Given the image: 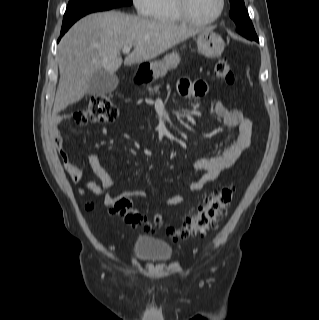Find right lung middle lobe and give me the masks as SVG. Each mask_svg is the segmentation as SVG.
<instances>
[{"mask_svg": "<svg viewBox=\"0 0 319 320\" xmlns=\"http://www.w3.org/2000/svg\"><path fill=\"white\" fill-rule=\"evenodd\" d=\"M131 4L132 0H69L64 14L62 28H69L86 14Z\"/></svg>", "mask_w": 319, "mask_h": 320, "instance_id": "right-lung-middle-lobe-1", "label": "right lung middle lobe"}]
</instances>
